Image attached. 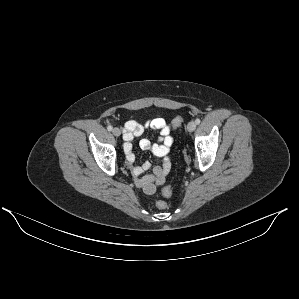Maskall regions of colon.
I'll list each match as a JSON object with an SVG mask.
<instances>
[{
  "instance_id": "obj_1",
  "label": "colon",
  "mask_w": 299,
  "mask_h": 299,
  "mask_svg": "<svg viewBox=\"0 0 299 299\" xmlns=\"http://www.w3.org/2000/svg\"><path fill=\"white\" fill-rule=\"evenodd\" d=\"M183 122L182 117H176L172 121V126L174 128L179 127ZM172 188L170 186H166L162 190V194L164 197L169 198L172 195ZM157 207L161 210L167 209L168 208V203L165 200H159L156 203Z\"/></svg>"
}]
</instances>
